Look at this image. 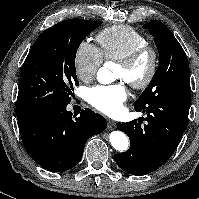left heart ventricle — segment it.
<instances>
[{"label":"left heart ventricle","mask_w":199,"mask_h":199,"mask_svg":"<svg viewBox=\"0 0 199 199\" xmlns=\"http://www.w3.org/2000/svg\"><path fill=\"white\" fill-rule=\"evenodd\" d=\"M148 69V61L142 60L140 61L133 69L127 70L120 65L116 66L115 69V78L122 79L125 81L128 80H139L143 78Z\"/></svg>","instance_id":"left-heart-ventricle-1"}]
</instances>
